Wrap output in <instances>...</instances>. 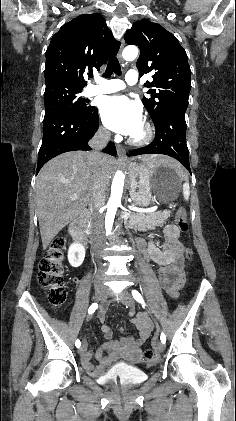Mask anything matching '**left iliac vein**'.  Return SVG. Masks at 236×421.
Instances as JSON below:
<instances>
[{
	"label": "left iliac vein",
	"instance_id": "left-iliac-vein-1",
	"mask_svg": "<svg viewBox=\"0 0 236 421\" xmlns=\"http://www.w3.org/2000/svg\"><path fill=\"white\" fill-rule=\"evenodd\" d=\"M107 293L111 294L109 290H107ZM121 300L125 305L134 306L133 297L127 290H123ZM152 346L157 352H163L165 349L164 344L158 338H154Z\"/></svg>",
	"mask_w": 236,
	"mask_h": 421
}]
</instances>
